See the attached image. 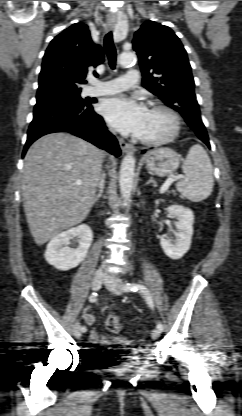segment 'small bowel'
Listing matches in <instances>:
<instances>
[{"instance_id":"1","label":"small bowel","mask_w":242,"mask_h":416,"mask_svg":"<svg viewBox=\"0 0 242 416\" xmlns=\"http://www.w3.org/2000/svg\"><path fill=\"white\" fill-rule=\"evenodd\" d=\"M83 319L88 325H93L96 322V315L92 312H85ZM111 340L108 336H101L95 329L91 330L89 335V341L94 346H107Z\"/></svg>"}]
</instances>
